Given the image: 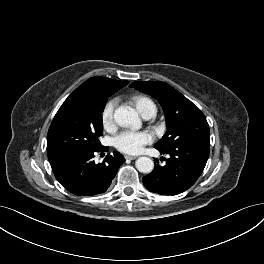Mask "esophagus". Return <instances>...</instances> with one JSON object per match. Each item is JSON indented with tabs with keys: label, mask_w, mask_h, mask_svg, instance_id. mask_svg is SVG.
<instances>
[{
	"label": "esophagus",
	"mask_w": 264,
	"mask_h": 264,
	"mask_svg": "<svg viewBox=\"0 0 264 264\" xmlns=\"http://www.w3.org/2000/svg\"><path fill=\"white\" fill-rule=\"evenodd\" d=\"M136 158H137V156H135V155H125V159L134 160Z\"/></svg>",
	"instance_id": "esophagus-1"
}]
</instances>
